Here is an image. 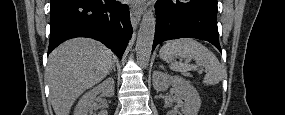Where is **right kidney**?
Wrapping results in <instances>:
<instances>
[{
  "label": "right kidney",
  "instance_id": "obj_1",
  "mask_svg": "<svg viewBox=\"0 0 285 115\" xmlns=\"http://www.w3.org/2000/svg\"><path fill=\"white\" fill-rule=\"evenodd\" d=\"M114 86L115 83L113 78H107L104 82L85 93L76 105L74 115H92V112L95 109L94 101L97 95L102 93L107 97L113 96ZM98 115H108V113L106 110H101Z\"/></svg>",
  "mask_w": 285,
  "mask_h": 115
}]
</instances>
